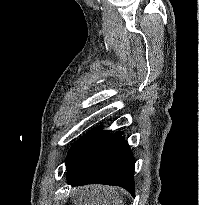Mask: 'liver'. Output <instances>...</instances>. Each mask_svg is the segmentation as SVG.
I'll return each mask as SVG.
<instances>
[{"label": "liver", "instance_id": "liver-1", "mask_svg": "<svg viewBox=\"0 0 199 205\" xmlns=\"http://www.w3.org/2000/svg\"><path fill=\"white\" fill-rule=\"evenodd\" d=\"M94 192L95 191H91V193H89L90 195L88 194V196H93ZM109 193L113 195V197L116 199V201H118L117 196H115L114 190H110ZM98 204H99L98 201H95L94 199H92L91 205H98Z\"/></svg>", "mask_w": 199, "mask_h": 205}]
</instances>
